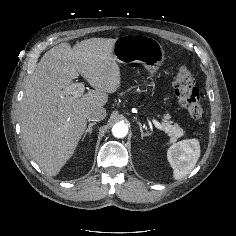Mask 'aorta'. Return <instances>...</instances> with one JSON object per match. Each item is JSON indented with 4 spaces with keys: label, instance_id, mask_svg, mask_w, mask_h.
<instances>
[{
    "label": "aorta",
    "instance_id": "762f6f07",
    "mask_svg": "<svg viewBox=\"0 0 236 236\" xmlns=\"http://www.w3.org/2000/svg\"><path fill=\"white\" fill-rule=\"evenodd\" d=\"M112 133L116 138H123L128 133V127L125 123L118 122L113 126Z\"/></svg>",
    "mask_w": 236,
    "mask_h": 236
}]
</instances>
